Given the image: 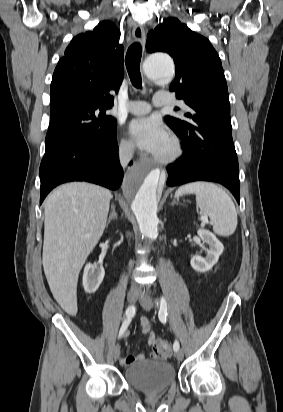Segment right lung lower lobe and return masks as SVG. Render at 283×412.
<instances>
[{"instance_id":"right-lung-lower-lobe-1","label":"right lung lower lobe","mask_w":283,"mask_h":412,"mask_svg":"<svg viewBox=\"0 0 283 412\" xmlns=\"http://www.w3.org/2000/svg\"><path fill=\"white\" fill-rule=\"evenodd\" d=\"M122 179L116 131L98 140L85 136L65 139L45 150L40 165V204L61 183L87 181L115 190Z\"/></svg>"}]
</instances>
